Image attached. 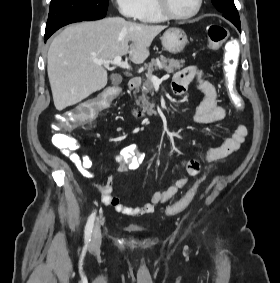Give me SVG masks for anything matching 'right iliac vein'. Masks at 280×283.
Returning a JSON list of instances; mask_svg holds the SVG:
<instances>
[{"label":"right iliac vein","mask_w":280,"mask_h":283,"mask_svg":"<svg viewBox=\"0 0 280 283\" xmlns=\"http://www.w3.org/2000/svg\"><path fill=\"white\" fill-rule=\"evenodd\" d=\"M101 244V230L100 225L97 224L94 228L93 236H92V247L97 248Z\"/></svg>","instance_id":"right-iliac-vein-1"}]
</instances>
